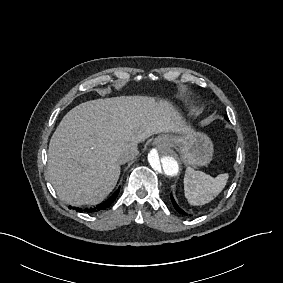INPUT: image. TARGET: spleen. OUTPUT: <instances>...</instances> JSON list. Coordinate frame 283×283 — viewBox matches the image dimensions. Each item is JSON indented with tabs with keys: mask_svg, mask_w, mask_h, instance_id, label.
Listing matches in <instances>:
<instances>
[{
	"mask_svg": "<svg viewBox=\"0 0 283 283\" xmlns=\"http://www.w3.org/2000/svg\"><path fill=\"white\" fill-rule=\"evenodd\" d=\"M228 173L217 177L187 167L184 177V192L190 205L199 206L212 201L226 186Z\"/></svg>",
	"mask_w": 283,
	"mask_h": 283,
	"instance_id": "spleen-1",
	"label": "spleen"
}]
</instances>
